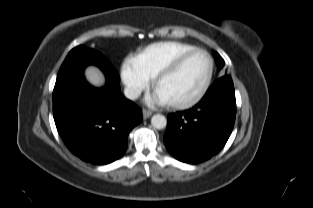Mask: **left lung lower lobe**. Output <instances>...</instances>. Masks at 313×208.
Returning <instances> with one entry per match:
<instances>
[{
    "mask_svg": "<svg viewBox=\"0 0 313 208\" xmlns=\"http://www.w3.org/2000/svg\"><path fill=\"white\" fill-rule=\"evenodd\" d=\"M233 81L217 79L202 100L184 112L168 115L164 142L178 160L197 164L216 155L227 142L235 122Z\"/></svg>",
    "mask_w": 313,
    "mask_h": 208,
    "instance_id": "1",
    "label": "left lung lower lobe"
}]
</instances>
